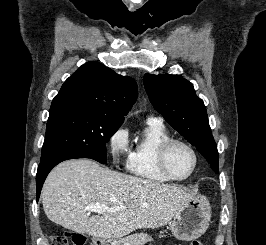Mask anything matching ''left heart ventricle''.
Here are the masks:
<instances>
[{
  "mask_svg": "<svg viewBox=\"0 0 266 245\" xmlns=\"http://www.w3.org/2000/svg\"><path fill=\"white\" fill-rule=\"evenodd\" d=\"M194 166L191 151L181 144H175L168 154V167L177 178L186 177Z\"/></svg>",
  "mask_w": 266,
  "mask_h": 245,
  "instance_id": "1",
  "label": "left heart ventricle"
}]
</instances>
